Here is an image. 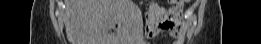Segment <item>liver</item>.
<instances>
[{
    "label": "liver",
    "instance_id": "6515ba94",
    "mask_svg": "<svg viewBox=\"0 0 261 44\" xmlns=\"http://www.w3.org/2000/svg\"><path fill=\"white\" fill-rule=\"evenodd\" d=\"M76 44H139L138 8L131 0H68Z\"/></svg>",
    "mask_w": 261,
    "mask_h": 44
}]
</instances>
